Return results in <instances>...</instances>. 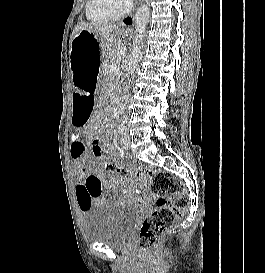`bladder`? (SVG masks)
Here are the masks:
<instances>
[{
  "mask_svg": "<svg viewBox=\"0 0 265 273\" xmlns=\"http://www.w3.org/2000/svg\"><path fill=\"white\" fill-rule=\"evenodd\" d=\"M139 211L125 203L92 206L83 212V231L89 241L124 248L133 235Z\"/></svg>",
  "mask_w": 265,
  "mask_h": 273,
  "instance_id": "31cf9c89",
  "label": "bladder"
}]
</instances>
